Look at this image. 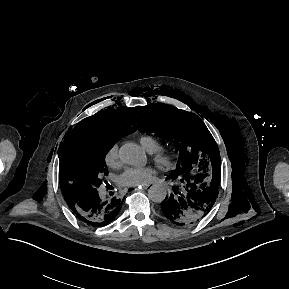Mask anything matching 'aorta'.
Returning a JSON list of instances; mask_svg holds the SVG:
<instances>
[{
  "instance_id": "1",
  "label": "aorta",
  "mask_w": 289,
  "mask_h": 289,
  "mask_svg": "<svg viewBox=\"0 0 289 289\" xmlns=\"http://www.w3.org/2000/svg\"><path fill=\"white\" fill-rule=\"evenodd\" d=\"M121 160L132 166H142L146 164L147 157L144 150L135 143H125L119 152ZM166 188L161 184H154L148 190L149 199L160 203L166 198Z\"/></svg>"
}]
</instances>
